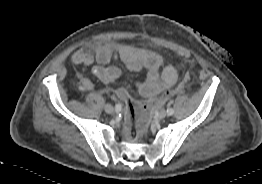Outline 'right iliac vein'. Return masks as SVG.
Instances as JSON below:
<instances>
[{"mask_svg": "<svg viewBox=\"0 0 262 184\" xmlns=\"http://www.w3.org/2000/svg\"><path fill=\"white\" fill-rule=\"evenodd\" d=\"M105 112L108 114H113L114 113V107L111 104H106L105 107Z\"/></svg>", "mask_w": 262, "mask_h": 184, "instance_id": "63e3f726", "label": "right iliac vein"}]
</instances>
